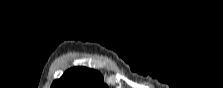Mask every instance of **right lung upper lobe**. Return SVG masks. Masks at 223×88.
I'll return each instance as SVG.
<instances>
[{"mask_svg": "<svg viewBox=\"0 0 223 88\" xmlns=\"http://www.w3.org/2000/svg\"><path fill=\"white\" fill-rule=\"evenodd\" d=\"M52 88H107L102 75L86 67H74L55 80Z\"/></svg>", "mask_w": 223, "mask_h": 88, "instance_id": "cb5924a9", "label": "right lung upper lobe"}]
</instances>
